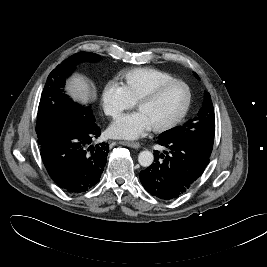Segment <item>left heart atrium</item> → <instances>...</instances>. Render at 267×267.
I'll return each mask as SVG.
<instances>
[{
    "mask_svg": "<svg viewBox=\"0 0 267 267\" xmlns=\"http://www.w3.org/2000/svg\"><path fill=\"white\" fill-rule=\"evenodd\" d=\"M151 128L144 115L137 111L116 119L110 126L112 136L124 139H136Z\"/></svg>",
    "mask_w": 267,
    "mask_h": 267,
    "instance_id": "1",
    "label": "left heart atrium"
}]
</instances>
